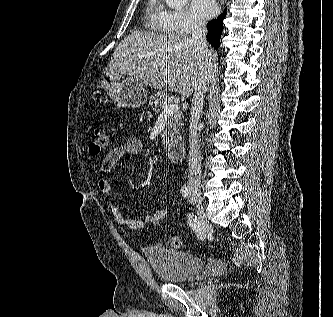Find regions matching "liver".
Listing matches in <instances>:
<instances>
[{"label":"liver","instance_id":"obj_1","mask_svg":"<svg viewBox=\"0 0 333 317\" xmlns=\"http://www.w3.org/2000/svg\"><path fill=\"white\" fill-rule=\"evenodd\" d=\"M209 50L210 55L185 35L134 31L117 46L105 73L127 74L154 88L188 97L199 78L208 73L210 58L212 76L216 53Z\"/></svg>","mask_w":333,"mask_h":317}]
</instances>
